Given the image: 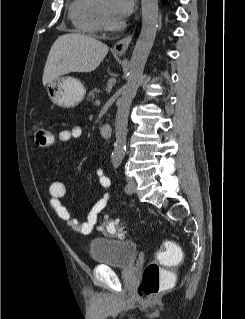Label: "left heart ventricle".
<instances>
[{"instance_id": "b2bd125f", "label": "left heart ventricle", "mask_w": 245, "mask_h": 319, "mask_svg": "<svg viewBox=\"0 0 245 319\" xmlns=\"http://www.w3.org/2000/svg\"><path fill=\"white\" fill-rule=\"evenodd\" d=\"M101 3L103 7L106 9V11L108 12V14L111 16V18H113L114 20H117L113 15V0H101Z\"/></svg>"}]
</instances>
